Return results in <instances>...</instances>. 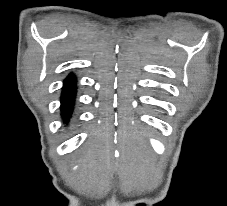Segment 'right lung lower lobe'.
<instances>
[{"instance_id": "1", "label": "right lung lower lobe", "mask_w": 227, "mask_h": 206, "mask_svg": "<svg viewBox=\"0 0 227 206\" xmlns=\"http://www.w3.org/2000/svg\"><path fill=\"white\" fill-rule=\"evenodd\" d=\"M76 89V79L73 75H69L63 84L61 96V111L64 119L68 120L74 105Z\"/></svg>"}]
</instances>
